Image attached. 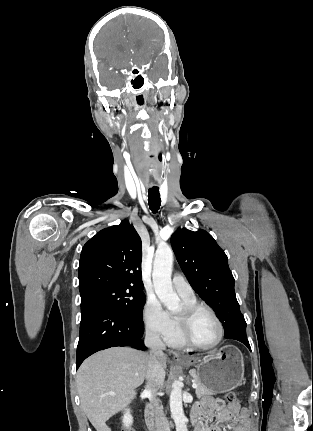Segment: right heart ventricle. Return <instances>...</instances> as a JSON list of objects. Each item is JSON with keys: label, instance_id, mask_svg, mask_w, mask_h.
Listing matches in <instances>:
<instances>
[{"label": "right heart ventricle", "instance_id": "e07e8e85", "mask_svg": "<svg viewBox=\"0 0 313 431\" xmlns=\"http://www.w3.org/2000/svg\"><path fill=\"white\" fill-rule=\"evenodd\" d=\"M185 304H196L195 297L193 298H184L182 297ZM173 323V330L171 334L166 338V342L173 347H183L184 344L178 333V326L175 317H171Z\"/></svg>", "mask_w": 313, "mask_h": 431}]
</instances>
